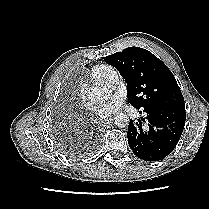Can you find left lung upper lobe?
<instances>
[{
    "label": "left lung upper lobe",
    "mask_w": 209,
    "mask_h": 209,
    "mask_svg": "<svg viewBox=\"0 0 209 209\" xmlns=\"http://www.w3.org/2000/svg\"><path fill=\"white\" fill-rule=\"evenodd\" d=\"M104 60L126 80L128 101L136 109L168 107L185 111L184 98L174 75L148 50L128 47Z\"/></svg>",
    "instance_id": "obj_1"
}]
</instances>
